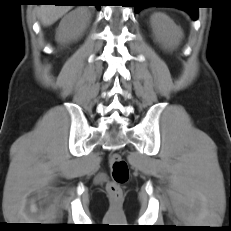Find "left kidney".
<instances>
[{
    "instance_id": "obj_1",
    "label": "left kidney",
    "mask_w": 231,
    "mask_h": 231,
    "mask_svg": "<svg viewBox=\"0 0 231 231\" xmlns=\"http://www.w3.org/2000/svg\"><path fill=\"white\" fill-rule=\"evenodd\" d=\"M151 26L155 38L166 48H174L179 45L183 32L174 21L164 13H155L151 16Z\"/></svg>"
}]
</instances>
